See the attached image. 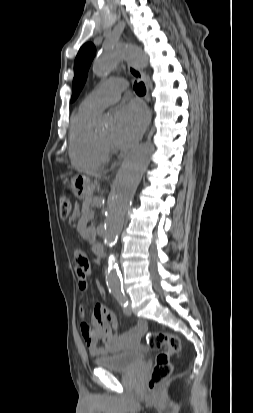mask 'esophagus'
Instances as JSON below:
<instances>
[{
	"label": "esophagus",
	"mask_w": 253,
	"mask_h": 413,
	"mask_svg": "<svg viewBox=\"0 0 253 413\" xmlns=\"http://www.w3.org/2000/svg\"><path fill=\"white\" fill-rule=\"evenodd\" d=\"M128 71L131 74V76H133L134 78H136L137 80L140 81H145V77H144V73L142 72V70H140L139 68L135 67L134 65H132L131 63H128ZM147 97L148 100L150 99V93H149V89L147 88ZM150 121H151V114H150Z\"/></svg>",
	"instance_id": "34e87169"
}]
</instances>
